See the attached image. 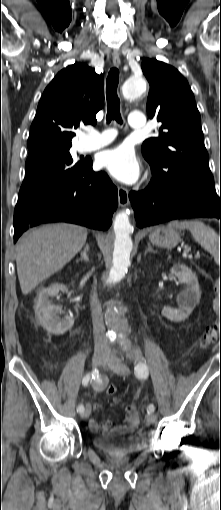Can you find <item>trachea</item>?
Listing matches in <instances>:
<instances>
[{
    "label": "trachea",
    "instance_id": "3493384b",
    "mask_svg": "<svg viewBox=\"0 0 221 510\" xmlns=\"http://www.w3.org/2000/svg\"><path fill=\"white\" fill-rule=\"evenodd\" d=\"M118 83L119 70L117 68H112L109 71L106 80L107 123H110L111 120H116V122L122 124L120 114V100L117 95Z\"/></svg>",
    "mask_w": 221,
    "mask_h": 510
}]
</instances>
